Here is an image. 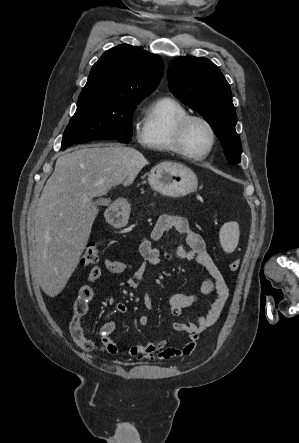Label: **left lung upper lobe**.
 Masks as SVG:
<instances>
[{
	"label": "left lung upper lobe",
	"instance_id": "1",
	"mask_svg": "<svg viewBox=\"0 0 299 443\" xmlns=\"http://www.w3.org/2000/svg\"><path fill=\"white\" fill-rule=\"evenodd\" d=\"M168 83L176 98L209 123L227 160L239 163L242 146L235 131V107L230 86L219 68L207 58L177 57L169 65Z\"/></svg>",
	"mask_w": 299,
	"mask_h": 443
}]
</instances>
